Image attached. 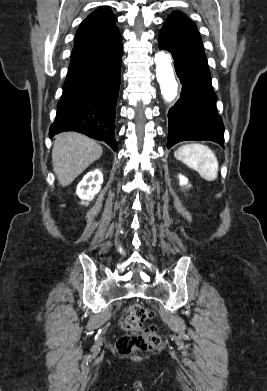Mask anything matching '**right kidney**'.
<instances>
[{"label":"right kidney","instance_id":"ca27d5eb","mask_svg":"<svg viewBox=\"0 0 267 391\" xmlns=\"http://www.w3.org/2000/svg\"><path fill=\"white\" fill-rule=\"evenodd\" d=\"M103 183V174L100 170L88 172L82 181L78 184L76 194L82 200H92L100 191Z\"/></svg>","mask_w":267,"mask_h":391}]
</instances>
